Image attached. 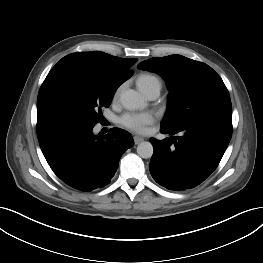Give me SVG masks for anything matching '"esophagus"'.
Wrapping results in <instances>:
<instances>
[{"mask_svg":"<svg viewBox=\"0 0 263 263\" xmlns=\"http://www.w3.org/2000/svg\"><path fill=\"white\" fill-rule=\"evenodd\" d=\"M143 141H144V138H143V137H140V136H137V135L134 136V142H135V144H139V143H141V142H143Z\"/></svg>","mask_w":263,"mask_h":263,"instance_id":"obj_1","label":"esophagus"}]
</instances>
